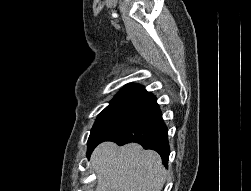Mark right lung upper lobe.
<instances>
[{"mask_svg": "<svg viewBox=\"0 0 251 191\" xmlns=\"http://www.w3.org/2000/svg\"><path fill=\"white\" fill-rule=\"evenodd\" d=\"M156 102V98L143 86L127 84L110 102L109 106L128 107L145 110Z\"/></svg>", "mask_w": 251, "mask_h": 191, "instance_id": "obj_1", "label": "right lung upper lobe"}]
</instances>
